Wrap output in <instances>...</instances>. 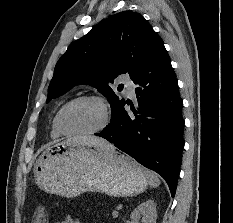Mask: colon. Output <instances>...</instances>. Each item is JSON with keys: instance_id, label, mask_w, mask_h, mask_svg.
Returning a JSON list of instances; mask_svg holds the SVG:
<instances>
[{"instance_id": "1", "label": "colon", "mask_w": 233, "mask_h": 223, "mask_svg": "<svg viewBox=\"0 0 233 223\" xmlns=\"http://www.w3.org/2000/svg\"><path fill=\"white\" fill-rule=\"evenodd\" d=\"M45 222V214L43 208L36 213L35 223H44Z\"/></svg>"}]
</instances>
